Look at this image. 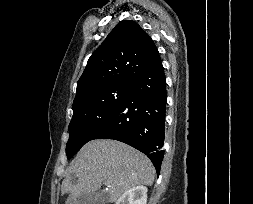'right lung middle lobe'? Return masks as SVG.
Returning a JSON list of instances; mask_svg holds the SVG:
<instances>
[{
    "label": "right lung middle lobe",
    "instance_id": "obj_1",
    "mask_svg": "<svg viewBox=\"0 0 253 204\" xmlns=\"http://www.w3.org/2000/svg\"><path fill=\"white\" fill-rule=\"evenodd\" d=\"M131 84H115L96 90L73 103V117L69 125L66 145L68 159L93 140L125 99Z\"/></svg>",
    "mask_w": 253,
    "mask_h": 204
}]
</instances>
